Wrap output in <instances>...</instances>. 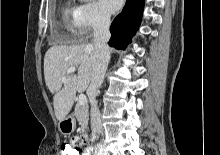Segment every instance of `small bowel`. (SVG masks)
<instances>
[{
  "instance_id": "c3829d8e",
  "label": "small bowel",
  "mask_w": 220,
  "mask_h": 155,
  "mask_svg": "<svg viewBox=\"0 0 220 155\" xmlns=\"http://www.w3.org/2000/svg\"><path fill=\"white\" fill-rule=\"evenodd\" d=\"M85 136H71L69 140H64V145H88L89 141L85 140Z\"/></svg>"
}]
</instances>
